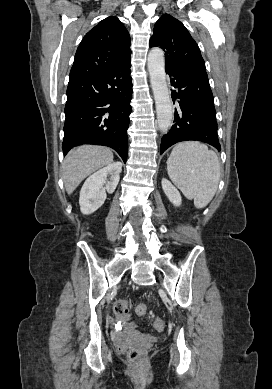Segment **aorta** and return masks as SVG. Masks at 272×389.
<instances>
[{
  "mask_svg": "<svg viewBox=\"0 0 272 389\" xmlns=\"http://www.w3.org/2000/svg\"><path fill=\"white\" fill-rule=\"evenodd\" d=\"M147 62L156 104L158 127L161 131H167L172 124L173 107L166 82L163 50L157 47L152 48L148 54Z\"/></svg>",
  "mask_w": 272,
  "mask_h": 389,
  "instance_id": "aorta-1",
  "label": "aorta"
}]
</instances>
